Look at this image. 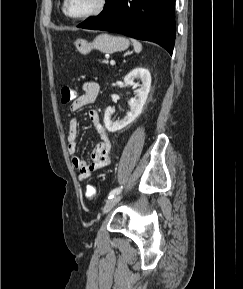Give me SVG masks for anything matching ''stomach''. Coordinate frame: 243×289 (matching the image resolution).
Here are the masks:
<instances>
[{
	"mask_svg": "<svg viewBox=\"0 0 243 289\" xmlns=\"http://www.w3.org/2000/svg\"><path fill=\"white\" fill-rule=\"evenodd\" d=\"M74 44L82 54H87L92 49H97L103 53H114L127 49L129 41L124 37L103 33L96 36L92 42H88L85 39H77Z\"/></svg>",
	"mask_w": 243,
	"mask_h": 289,
	"instance_id": "obj_1",
	"label": "stomach"
}]
</instances>
